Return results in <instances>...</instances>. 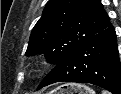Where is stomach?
Returning a JSON list of instances; mask_svg holds the SVG:
<instances>
[{"label": "stomach", "instance_id": "stomach-1", "mask_svg": "<svg viewBox=\"0 0 121 94\" xmlns=\"http://www.w3.org/2000/svg\"><path fill=\"white\" fill-rule=\"evenodd\" d=\"M48 94H95V92L82 84L67 83L57 87Z\"/></svg>", "mask_w": 121, "mask_h": 94}]
</instances>
